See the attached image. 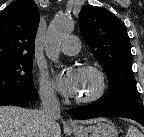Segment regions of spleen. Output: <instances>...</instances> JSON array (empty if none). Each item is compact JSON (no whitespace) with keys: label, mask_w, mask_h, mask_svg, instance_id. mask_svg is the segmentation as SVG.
I'll list each match as a JSON object with an SVG mask.
<instances>
[{"label":"spleen","mask_w":144,"mask_h":137,"mask_svg":"<svg viewBox=\"0 0 144 137\" xmlns=\"http://www.w3.org/2000/svg\"><path fill=\"white\" fill-rule=\"evenodd\" d=\"M126 137H143V134L133 125L129 126Z\"/></svg>","instance_id":"1"}]
</instances>
